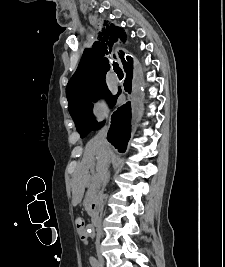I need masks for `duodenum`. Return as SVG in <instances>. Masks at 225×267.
<instances>
[{
  "mask_svg": "<svg viewBox=\"0 0 225 267\" xmlns=\"http://www.w3.org/2000/svg\"><path fill=\"white\" fill-rule=\"evenodd\" d=\"M91 222L93 227H97L100 222V218L94 204L91 206Z\"/></svg>",
  "mask_w": 225,
  "mask_h": 267,
  "instance_id": "duodenum-1",
  "label": "duodenum"
}]
</instances>
